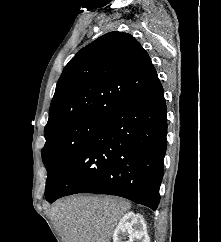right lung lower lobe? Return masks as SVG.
Returning <instances> with one entry per match:
<instances>
[{"instance_id": "1", "label": "right lung lower lobe", "mask_w": 221, "mask_h": 242, "mask_svg": "<svg viewBox=\"0 0 221 242\" xmlns=\"http://www.w3.org/2000/svg\"><path fill=\"white\" fill-rule=\"evenodd\" d=\"M167 108L159 79L103 119L70 160L47 201L116 195L156 210L166 152Z\"/></svg>"}]
</instances>
